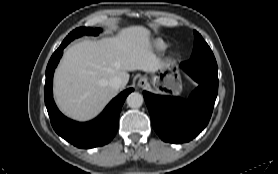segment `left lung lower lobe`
I'll return each mask as SVG.
<instances>
[{"label":"left lung lower lobe","instance_id":"left-lung-lower-lobe-1","mask_svg":"<svg viewBox=\"0 0 278 174\" xmlns=\"http://www.w3.org/2000/svg\"><path fill=\"white\" fill-rule=\"evenodd\" d=\"M180 66L199 83L188 100L143 92L154 130L176 144L192 140L207 126L218 92V69L197 60Z\"/></svg>","mask_w":278,"mask_h":174}]
</instances>
